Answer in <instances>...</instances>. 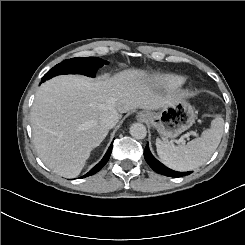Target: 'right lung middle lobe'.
Wrapping results in <instances>:
<instances>
[{
  "label": "right lung middle lobe",
  "mask_w": 245,
  "mask_h": 245,
  "mask_svg": "<svg viewBox=\"0 0 245 245\" xmlns=\"http://www.w3.org/2000/svg\"><path fill=\"white\" fill-rule=\"evenodd\" d=\"M104 64H107V61L96 57L68 59L48 71L42 78V81L44 82L60 74L80 73L89 77H95L97 69Z\"/></svg>",
  "instance_id": "right-lung-middle-lobe-1"
}]
</instances>
